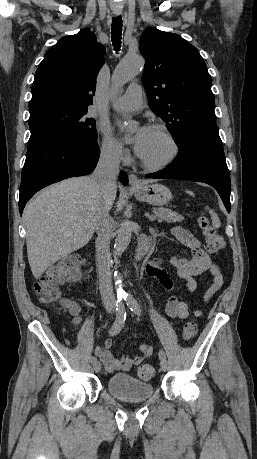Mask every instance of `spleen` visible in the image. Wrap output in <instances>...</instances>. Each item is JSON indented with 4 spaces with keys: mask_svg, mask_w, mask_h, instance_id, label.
Returning <instances> with one entry per match:
<instances>
[{
    "mask_svg": "<svg viewBox=\"0 0 257 459\" xmlns=\"http://www.w3.org/2000/svg\"><path fill=\"white\" fill-rule=\"evenodd\" d=\"M187 193L192 195V196L194 195L193 192H191V191H187ZM206 208H208V207H206ZM209 213L211 215V220H212L213 227L214 228H219L221 226V221H220L218 215L211 209H209Z\"/></svg>",
    "mask_w": 257,
    "mask_h": 459,
    "instance_id": "obj_1",
    "label": "spleen"
}]
</instances>
